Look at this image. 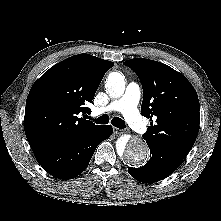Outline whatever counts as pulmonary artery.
Instances as JSON below:
<instances>
[{
    "instance_id": "1",
    "label": "pulmonary artery",
    "mask_w": 221,
    "mask_h": 221,
    "mask_svg": "<svg viewBox=\"0 0 221 221\" xmlns=\"http://www.w3.org/2000/svg\"><path fill=\"white\" fill-rule=\"evenodd\" d=\"M141 96V88L136 82H130L123 95L108 105L96 109L97 114L109 111L121 112L130 126L139 134H145L148 126L138 112L137 105Z\"/></svg>"
}]
</instances>
